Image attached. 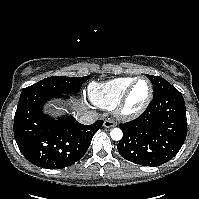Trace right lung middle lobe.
<instances>
[{
	"label": "right lung middle lobe",
	"instance_id": "obj_1",
	"mask_svg": "<svg viewBox=\"0 0 199 199\" xmlns=\"http://www.w3.org/2000/svg\"><path fill=\"white\" fill-rule=\"evenodd\" d=\"M89 79V76L85 77H64V76H52L45 78L27 88L22 93L29 91H40L44 93H63V94H76L82 84Z\"/></svg>",
	"mask_w": 199,
	"mask_h": 199
}]
</instances>
